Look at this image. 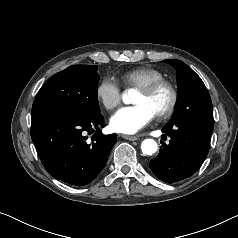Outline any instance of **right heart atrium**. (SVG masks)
<instances>
[{
  "label": "right heart atrium",
  "mask_w": 238,
  "mask_h": 238,
  "mask_svg": "<svg viewBox=\"0 0 238 238\" xmlns=\"http://www.w3.org/2000/svg\"><path fill=\"white\" fill-rule=\"evenodd\" d=\"M96 96L106 109L111 110L120 104L122 89L114 78L105 77L97 86Z\"/></svg>",
  "instance_id": "1"
}]
</instances>
